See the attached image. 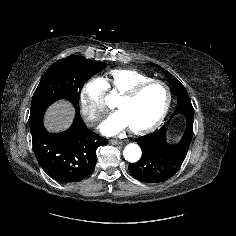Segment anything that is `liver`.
<instances>
[{"label":"liver","mask_w":236,"mask_h":236,"mask_svg":"<svg viewBox=\"0 0 236 236\" xmlns=\"http://www.w3.org/2000/svg\"><path fill=\"white\" fill-rule=\"evenodd\" d=\"M74 108L68 101H59L51 105L45 116L47 130L59 132L66 130L72 124Z\"/></svg>","instance_id":"obj_1"}]
</instances>
